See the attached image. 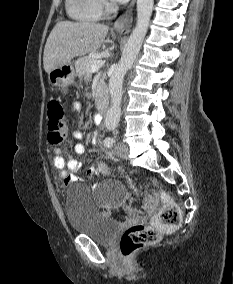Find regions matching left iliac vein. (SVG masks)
Instances as JSON below:
<instances>
[{
	"mask_svg": "<svg viewBox=\"0 0 233 284\" xmlns=\"http://www.w3.org/2000/svg\"><path fill=\"white\" fill-rule=\"evenodd\" d=\"M116 152L117 154L123 158V159H127L128 158V155H129V149H128V146L124 143H118L116 145Z\"/></svg>",
	"mask_w": 233,
	"mask_h": 284,
	"instance_id": "left-iliac-vein-1",
	"label": "left iliac vein"
}]
</instances>
